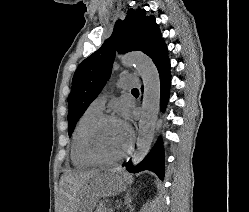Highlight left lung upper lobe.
<instances>
[{"label":"left lung upper lobe","instance_id":"1","mask_svg":"<svg viewBox=\"0 0 249 212\" xmlns=\"http://www.w3.org/2000/svg\"><path fill=\"white\" fill-rule=\"evenodd\" d=\"M165 47L155 17L146 16L144 9L128 10L125 20L116 22L112 36L100 49L86 58L74 74L68 97L69 136L109 79L116 51L119 53L142 51L155 59Z\"/></svg>","mask_w":249,"mask_h":212}]
</instances>
